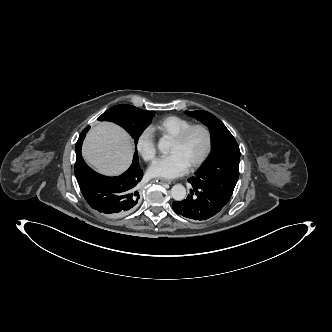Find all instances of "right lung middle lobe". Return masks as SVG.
<instances>
[{
	"label": "right lung middle lobe",
	"mask_w": 332,
	"mask_h": 332,
	"mask_svg": "<svg viewBox=\"0 0 332 332\" xmlns=\"http://www.w3.org/2000/svg\"><path fill=\"white\" fill-rule=\"evenodd\" d=\"M154 114L155 112L141 110L132 105L120 104L107 110L97 120L111 121L120 125L130 133L135 140V144H137L139 136L151 123ZM133 161L138 162L137 151L134 154Z\"/></svg>",
	"instance_id": "right-lung-middle-lobe-1"
}]
</instances>
